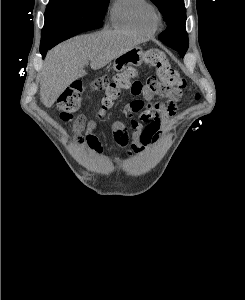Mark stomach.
<instances>
[{
	"label": "stomach",
	"instance_id": "stomach-1",
	"mask_svg": "<svg viewBox=\"0 0 245 300\" xmlns=\"http://www.w3.org/2000/svg\"><path fill=\"white\" fill-rule=\"evenodd\" d=\"M142 57V49L134 47L114 59L113 69L117 72H122L129 66H140L143 61Z\"/></svg>",
	"mask_w": 245,
	"mask_h": 300
}]
</instances>
